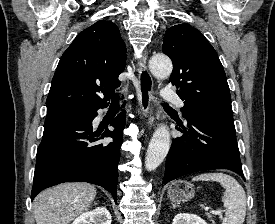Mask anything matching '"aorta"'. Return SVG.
Segmentation results:
<instances>
[{"label":"aorta","mask_w":275,"mask_h":224,"mask_svg":"<svg viewBox=\"0 0 275 224\" xmlns=\"http://www.w3.org/2000/svg\"><path fill=\"white\" fill-rule=\"evenodd\" d=\"M152 74L159 79H166L172 73V62L165 55H154L149 61ZM171 137L166 125L157 127L150 140L146 157L145 167L148 171L155 170L165 159L170 149Z\"/></svg>","instance_id":"aorta-1"}]
</instances>
